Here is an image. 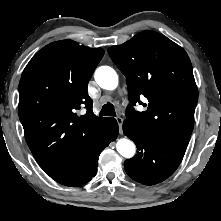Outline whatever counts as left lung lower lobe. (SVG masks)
<instances>
[{
	"label": "left lung lower lobe",
	"instance_id": "0a47b994",
	"mask_svg": "<svg viewBox=\"0 0 221 221\" xmlns=\"http://www.w3.org/2000/svg\"><path fill=\"white\" fill-rule=\"evenodd\" d=\"M123 132L137 146V154L125 161L127 174L137 182L154 185L178 168L187 146L160 139L137 122L125 119Z\"/></svg>",
	"mask_w": 221,
	"mask_h": 221
}]
</instances>
